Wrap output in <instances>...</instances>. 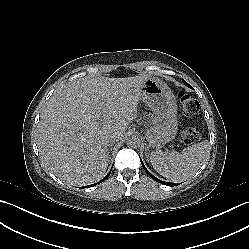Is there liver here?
Returning a JSON list of instances; mask_svg holds the SVG:
<instances>
[{
  "label": "liver",
  "mask_w": 249,
  "mask_h": 249,
  "mask_svg": "<svg viewBox=\"0 0 249 249\" xmlns=\"http://www.w3.org/2000/svg\"><path fill=\"white\" fill-rule=\"evenodd\" d=\"M138 80H83L58 92L38 125L41 160L55 172H69L82 184L100 180L109 163L108 137L123 136L137 113Z\"/></svg>",
  "instance_id": "liver-1"
}]
</instances>
